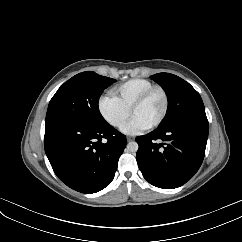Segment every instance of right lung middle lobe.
<instances>
[{
	"label": "right lung middle lobe",
	"instance_id": "obj_1",
	"mask_svg": "<svg viewBox=\"0 0 242 242\" xmlns=\"http://www.w3.org/2000/svg\"><path fill=\"white\" fill-rule=\"evenodd\" d=\"M115 79L92 71L79 73L65 82L52 97L46 124L57 120H77L94 125L105 124L98 108L103 90Z\"/></svg>",
	"mask_w": 242,
	"mask_h": 242
}]
</instances>
